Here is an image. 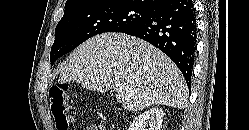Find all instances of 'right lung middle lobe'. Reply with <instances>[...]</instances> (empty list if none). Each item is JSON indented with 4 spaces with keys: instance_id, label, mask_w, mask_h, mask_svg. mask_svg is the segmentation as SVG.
I'll return each mask as SVG.
<instances>
[{
    "instance_id": "1",
    "label": "right lung middle lobe",
    "mask_w": 249,
    "mask_h": 130,
    "mask_svg": "<svg viewBox=\"0 0 249 130\" xmlns=\"http://www.w3.org/2000/svg\"><path fill=\"white\" fill-rule=\"evenodd\" d=\"M152 11L131 0H106L65 11L55 29L51 64L87 39L104 32H120L145 20Z\"/></svg>"
}]
</instances>
